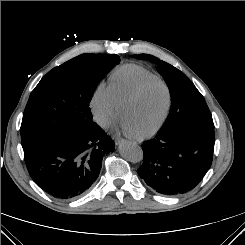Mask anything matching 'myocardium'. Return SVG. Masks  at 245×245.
<instances>
[{
  "instance_id": "1",
  "label": "myocardium",
  "mask_w": 245,
  "mask_h": 245,
  "mask_svg": "<svg viewBox=\"0 0 245 245\" xmlns=\"http://www.w3.org/2000/svg\"><path fill=\"white\" fill-rule=\"evenodd\" d=\"M152 82H158L164 87V89L166 91V105H165V109H164L162 117L160 118V120L158 121V123L154 127H152L150 130H148L146 132L136 134V136L139 139L147 138V137H150V136L154 135L155 133H157L161 129V127L164 125L165 121L167 120V117L169 115L170 108H171V103H172V94H171V89H170L169 85L167 84L166 81H164L162 78H160L158 76H153V77L147 78V79L143 80L142 82H140L135 87V89L129 95H127L119 104V112L121 114L124 106L126 104L134 101L136 98H138V96L142 93L144 88Z\"/></svg>"
}]
</instances>
